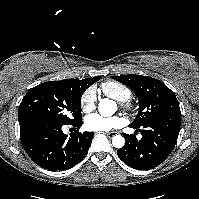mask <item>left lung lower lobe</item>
<instances>
[{
	"label": "left lung lower lobe",
	"instance_id": "1",
	"mask_svg": "<svg viewBox=\"0 0 199 199\" xmlns=\"http://www.w3.org/2000/svg\"><path fill=\"white\" fill-rule=\"evenodd\" d=\"M181 114L172 113L156 118L142 127H133L142 134L137 140L133 134H124L125 146L117 155L128 166L149 170L161 164L174 148L180 131ZM140 128V129H139Z\"/></svg>",
	"mask_w": 199,
	"mask_h": 199
}]
</instances>
